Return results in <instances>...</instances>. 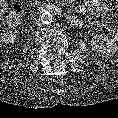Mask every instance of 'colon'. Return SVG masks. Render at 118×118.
<instances>
[{
	"label": "colon",
	"instance_id": "colon-1",
	"mask_svg": "<svg viewBox=\"0 0 118 118\" xmlns=\"http://www.w3.org/2000/svg\"><path fill=\"white\" fill-rule=\"evenodd\" d=\"M20 17H21L20 6L18 4H13L4 14L1 20V24L6 26H16L20 21Z\"/></svg>",
	"mask_w": 118,
	"mask_h": 118
}]
</instances>
